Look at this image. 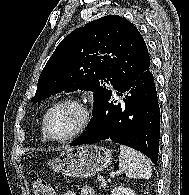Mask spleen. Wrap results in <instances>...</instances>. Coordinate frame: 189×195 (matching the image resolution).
Instances as JSON below:
<instances>
[{
	"label": "spleen",
	"instance_id": "spleen-1",
	"mask_svg": "<svg viewBox=\"0 0 189 195\" xmlns=\"http://www.w3.org/2000/svg\"><path fill=\"white\" fill-rule=\"evenodd\" d=\"M119 167L128 178L148 179L152 175L149 159L127 146L120 145Z\"/></svg>",
	"mask_w": 189,
	"mask_h": 195
}]
</instances>
